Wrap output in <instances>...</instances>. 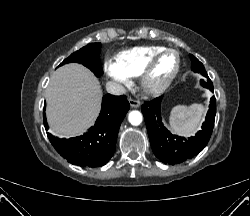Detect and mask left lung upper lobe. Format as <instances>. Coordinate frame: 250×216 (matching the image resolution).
<instances>
[{"mask_svg":"<svg viewBox=\"0 0 250 216\" xmlns=\"http://www.w3.org/2000/svg\"><path fill=\"white\" fill-rule=\"evenodd\" d=\"M190 58H191V61H192V65H191L192 70L194 72L200 73L204 77H206L207 78V81H206L207 83H212L211 80L209 79L207 73H206V70H205L203 64L197 58H195L193 55H190ZM201 81H204V80H201Z\"/></svg>","mask_w":250,"mask_h":216,"instance_id":"5c2ea615","label":"left lung upper lobe"}]
</instances>
